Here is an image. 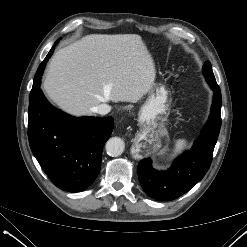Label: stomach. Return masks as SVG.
I'll return each mask as SVG.
<instances>
[{"mask_svg":"<svg viewBox=\"0 0 247 247\" xmlns=\"http://www.w3.org/2000/svg\"><path fill=\"white\" fill-rule=\"evenodd\" d=\"M171 92L164 84H155L139 111V123L145 128L162 125L171 110Z\"/></svg>","mask_w":247,"mask_h":247,"instance_id":"0dacf381","label":"stomach"}]
</instances>
